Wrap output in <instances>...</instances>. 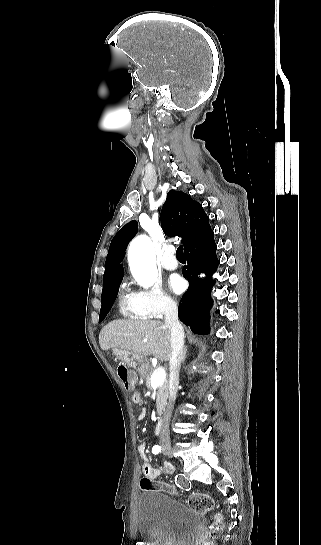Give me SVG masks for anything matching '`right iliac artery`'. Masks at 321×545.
<instances>
[{"instance_id": "obj_1", "label": "right iliac artery", "mask_w": 321, "mask_h": 545, "mask_svg": "<svg viewBox=\"0 0 321 545\" xmlns=\"http://www.w3.org/2000/svg\"><path fill=\"white\" fill-rule=\"evenodd\" d=\"M160 452H161V447H160V446L156 445V446H154V447L152 448V453H153V454H158V453H160Z\"/></svg>"}]
</instances>
